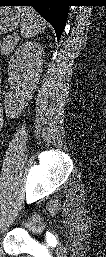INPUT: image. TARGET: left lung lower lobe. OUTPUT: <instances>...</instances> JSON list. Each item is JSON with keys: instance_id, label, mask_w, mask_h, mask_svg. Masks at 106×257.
Segmentation results:
<instances>
[{"instance_id": "1", "label": "left lung lower lobe", "mask_w": 106, "mask_h": 257, "mask_svg": "<svg viewBox=\"0 0 106 257\" xmlns=\"http://www.w3.org/2000/svg\"><path fill=\"white\" fill-rule=\"evenodd\" d=\"M0 4L32 6L53 26L59 41L67 21L69 0H0Z\"/></svg>"}]
</instances>
